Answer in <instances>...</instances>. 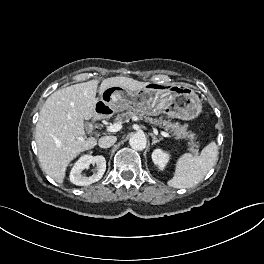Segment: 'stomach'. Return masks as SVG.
<instances>
[{"mask_svg": "<svg viewBox=\"0 0 264 264\" xmlns=\"http://www.w3.org/2000/svg\"><path fill=\"white\" fill-rule=\"evenodd\" d=\"M124 110L148 116L164 113L178 119L192 120L201 113L202 105L198 95L189 87L172 85L159 88L154 84H148L137 92L121 86L108 87L95 105V114L99 117H108Z\"/></svg>", "mask_w": 264, "mask_h": 264, "instance_id": "1", "label": "stomach"}]
</instances>
